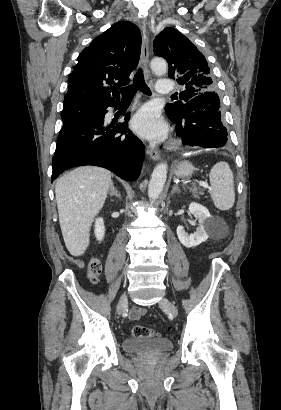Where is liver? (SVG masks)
I'll list each match as a JSON object with an SVG mask.
<instances>
[{
  "mask_svg": "<svg viewBox=\"0 0 281 410\" xmlns=\"http://www.w3.org/2000/svg\"><path fill=\"white\" fill-rule=\"evenodd\" d=\"M110 171L84 166L60 177L55 185L59 223L66 248L77 257L89 246L90 227L102 209L109 187Z\"/></svg>",
  "mask_w": 281,
  "mask_h": 410,
  "instance_id": "obj_1",
  "label": "liver"
}]
</instances>
